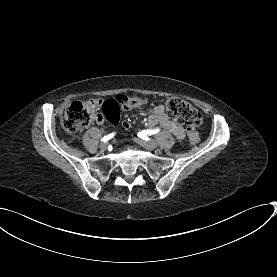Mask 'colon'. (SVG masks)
Wrapping results in <instances>:
<instances>
[{"instance_id": "5ec220e1", "label": "colon", "mask_w": 277, "mask_h": 277, "mask_svg": "<svg viewBox=\"0 0 277 277\" xmlns=\"http://www.w3.org/2000/svg\"><path fill=\"white\" fill-rule=\"evenodd\" d=\"M116 98L119 100L118 109L123 111L146 105V100L142 97L121 94ZM102 108L103 105L97 99H90L86 104L74 101L63 115L64 127L72 135H76L94 120H104L101 115ZM166 112L169 117L186 125V136L191 144L199 142L200 136L196 127L200 123L201 116L192 105L181 98L172 97L166 104Z\"/></svg>"}]
</instances>
